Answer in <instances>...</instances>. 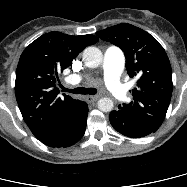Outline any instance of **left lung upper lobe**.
I'll use <instances>...</instances> for the list:
<instances>
[{
  "label": "left lung upper lobe",
  "instance_id": "5c2ea615",
  "mask_svg": "<svg viewBox=\"0 0 187 187\" xmlns=\"http://www.w3.org/2000/svg\"><path fill=\"white\" fill-rule=\"evenodd\" d=\"M96 34L122 49L128 75L138 77L133 101L119 105L118 110L156 131L164 121L173 90L172 69L164 48L152 35L128 23Z\"/></svg>",
  "mask_w": 187,
  "mask_h": 187
}]
</instances>
